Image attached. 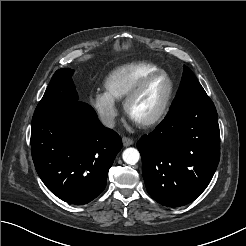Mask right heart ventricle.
<instances>
[{"instance_id": "right-heart-ventricle-1", "label": "right heart ventricle", "mask_w": 246, "mask_h": 246, "mask_svg": "<svg viewBox=\"0 0 246 246\" xmlns=\"http://www.w3.org/2000/svg\"><path fill=\"white\" fill-rule=\"evenodd\" d=\"M159 70L161 68L151 62H133L121 65L106 77L105 90L113 100L122 101L143 77Z\"/></svg>"}]
</instances>
